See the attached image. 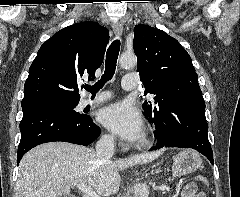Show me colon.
I'll list each match as a JSON object with an SVG mask.
<instances>
[{
  "mask_svg": "<svg viewBox=\"0 0 240 197\" xmlns=\"http://www.w3.org/2000/svg\"><path fill=\"white\" fill-rule=\"evenodd\" d=\"M196 180L201 182V183H203V184H205V185L208 184V180H207V178L204 175H201V174L197 175L196 176Z\"/></svg>",
  "mask_w": 240,
  "mask_h": 197,
  "instance_id": "obj_1",
  "label": "colon"
}]
</instances>
